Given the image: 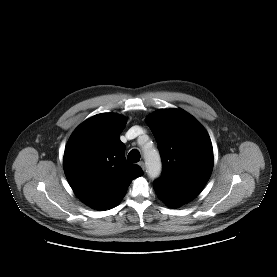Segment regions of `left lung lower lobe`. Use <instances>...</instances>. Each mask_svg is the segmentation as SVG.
<instances>
[{
	"label": "left lung lower lobe",
	"mask_w": 277,
	"mask_h": 277,
	"mask_svg": "<svg viewBox=\"0 0 277 277\" xmlns=\"http://www.w3.org/2000/svg\"><path fill=\"white\" fill-rule=\"evenodd\" d=\"M154 189L158 197L169 207L176 208L181 206L185 203L190 202L195 197L186 194H180L176 192L169 191L157 184H153Z\"/></svg>",
	"instance_id": "0a47b994"
}]
</instances>
